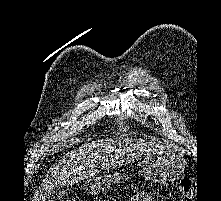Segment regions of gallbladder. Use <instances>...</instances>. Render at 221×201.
Here are the masks:
<instances>
[{"mask_svg":"<svg viewBox=\"0 0 221 201\" xmlns=\"http://www.w3.org/2000/svg\"><path fill=\"white\" fill-rule=\"evenodd\" d=\"M66 193V190L64 188H56L54 189L51 194L49 195L50 200L49 201H60Z\"/></svg>","mask_w":221,"mask_h":201,"instance_id":"1","label":"gallbladder"}]
</instances>
